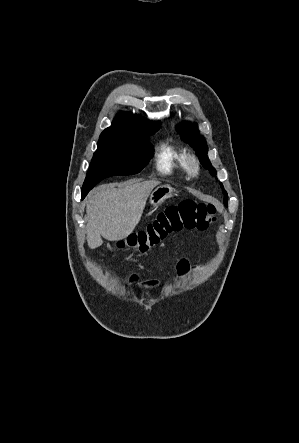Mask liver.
<instances>
[{
  "instance_id": "6515ba94",
  "label": "liver",
  "mask_w": 299,
  "mask_h": 443,
  "mask_svg": "<svg viewBox=\"0 0 299 443\" xmlns=\"http://www.w3.org/2000/svg\"><path fill=\"white\" fill-rule=\"evenodd\" d=\"M159 181L125 182L118 188L104 184L90 192L86 200L87 243L95 249L101 237L109 241L127 238L138 225L147 198Z\"/></svg>"
}]
</instances>
